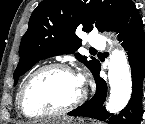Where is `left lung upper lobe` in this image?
<instances>
[{
	"mask_svg": "<svg viewBox=\"0 0 145 124\" xmlns=\"http://www.w3.org/2000/svg\"><path fill=\"white\" fill-rule=\"evenodd\" d=\"M133 5L131 0H43L33 11L22 37L14 85L39 60L64 53H74L95 75L100 63L76 52L81 46L76 29L115 31Z\"/></svg>",
	"mask_w": 145,
	"mask_h": 124,
	"instance_id": "obj_1",
	"label": "left lung upper lobe"
}]
</instances>
